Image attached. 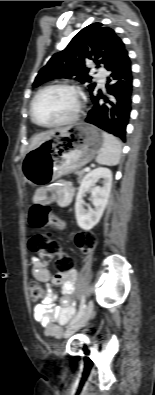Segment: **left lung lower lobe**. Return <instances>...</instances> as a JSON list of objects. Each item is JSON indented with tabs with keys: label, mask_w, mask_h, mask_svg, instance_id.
I'll return each instance as SVG.
<instances>
[{
	"label": "left lung lower lobe",
	"mask_w": 155,
	"mask_h": 395,
	"mask_svg": "<svg viewBox=\"0 0 155 395\" xmlns=\"http://www.w3.org/2000/svg\"><path fill=\"white\" fill-rule=\"evenodd\" d=\"M105 96L101 90L91 94L92 109L88 112L86 122L126 140V126L129 121L132 103V70L129 56H125L116 66L108 70ZM103 99L104 104L99 100Z\"/></svg>",
	"instance_id": "0a47b994"
}]
</instances>
